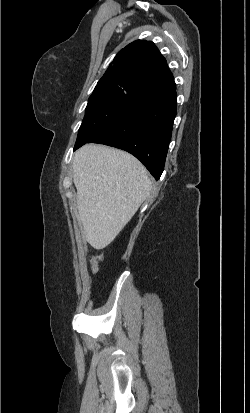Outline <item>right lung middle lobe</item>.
<instances>
[{
  "label": "right lung middle lobe",
  "mask_w": 250,
  "mask_h": 413,
  "mask_svg": "<svg viewBox=\"0 0 250 413\" xmlns=\"http://www.w3.org/2000/svg\"><path fill=\"white\" fill-rule=\"evenodd\" d=\"M139 96L138 92L123 88L94 89L88 99L74 149L94 138L120 114L129 101Z\"/></svg>",
  "instance_id": "obj_1"
}]
</instances>
